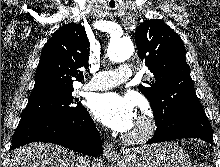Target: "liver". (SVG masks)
<instances>
[{"mask_svg":"<svg viewBox=\"0 0 220 167\" xmlns=\"http://www.w3.org/2000/svg\"><path fill=\"white\" fill-rule=\"evenodd\" d=\"M78 156L58 145L34 142L17 148L6 160V167H76ZM93 167H101L93 160Z\"/></svg>","mask_w":220,"mask_h":167,"instance_id":"liver-1","label":"liver"}]
</instances>
